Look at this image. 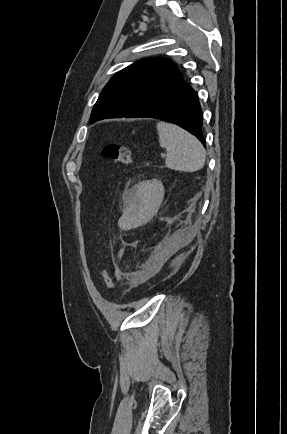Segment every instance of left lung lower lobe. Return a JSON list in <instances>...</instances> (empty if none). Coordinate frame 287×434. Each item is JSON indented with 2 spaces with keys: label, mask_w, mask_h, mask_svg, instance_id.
<instances>
[{
  "label": "left lung lower lobe",
  "mask_w": 287,
  "mask_h": 434,
  "mask_svg": "<svg viewBox=\"0 0 287 434\" xmlns=\"http://www.w3.org/2000/svg\"><path fill=\"white\" fill-rule=\"evenodd\" d=\"M133 117H150L177 124L206 146L199 99L193 88L185 82L161 100L140 109Z\"/></svg>",
  "instance_id": "1"
}]
</instances>
